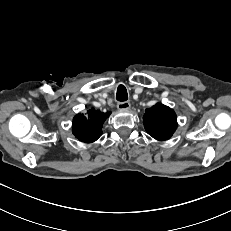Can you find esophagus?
I'll return each instance as SVG.
<instances>
[{
  "label": "esophagus",
  "mask_w": 231,
  "mask_h": 231,
  "mask_svg": "<svg viewBox=\"0 0 231 231\" xmlns=\"http://www.w3.org/2000/svg\"><path fill=\"white\" fill-rule=\"evenodd\" d=\"M117 108L121 111L130 109V103L128 101L119 102Z\"/></svg>",
  "instance_id": "obj_1"
}]
</instances>
